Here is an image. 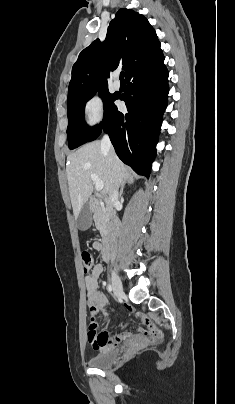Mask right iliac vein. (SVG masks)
Segmentation results:
<instances>
[{"label": "right iliac vein", "mask_w": 235, "mask_h": 404, "mask_svg": "<svg viewBox=\"0 0 235 404\" xmlns=\"http://www.w3.org/2000/svg\"><path fill=\"white\" fill-rule=\"evenodd\" d=\"M112 287L114 295L116 298H121L123 296V288L120 277L114 271H112Z\"/></svg>", "instance_id": "right-iliac-vein-1"}]
</instances>
